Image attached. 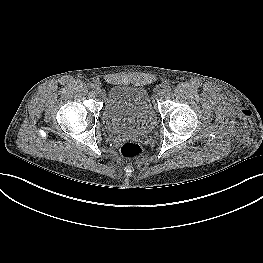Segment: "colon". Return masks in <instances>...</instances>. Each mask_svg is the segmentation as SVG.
<instances>
[{"label": "colon", "instance_id": "1", "mask_svg": "<svg viewBox=\"0 0 263 263\" xmlns=\"http://www.w3.org/2000/svg\"><path fill=\"white\" fill-rule=\"evenodd\" d=\"M120 152L126 159H135L141 155L142 149L137 143L127 141L121 146Z\"/></svg>", "mask_w": 263, "mask_h": 263}]
</instances>
